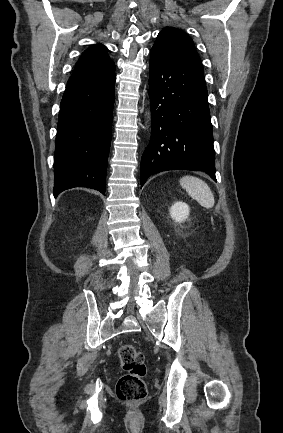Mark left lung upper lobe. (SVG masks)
Here are the masks:
<instances>
[{"label": "left lung upper lobe", "mask_w": 283, "mask_h": 433, "mask_svg": "<svg viewBox=\"0 0 283 433\" xmlns=\"http://www.w3.org/2000/svg\"><path fill=\"white\" fill-rule=\"evenodd\" d=\"M152 49L164 50L168 53L177 54L201 64L193 41L183 31L176 28L167 27L163 29L158 34Z\"/></svg>", "instance_id": "1"}]
</instances>
